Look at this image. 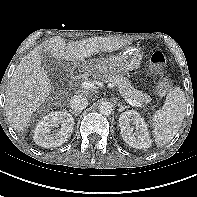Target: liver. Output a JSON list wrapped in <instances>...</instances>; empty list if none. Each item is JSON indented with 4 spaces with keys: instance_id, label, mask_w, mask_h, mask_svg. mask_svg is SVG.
I'll return each mask as SVG.
<instances>
[{
    "instance_id": "6515ba94",
    "label": "liver",
    "mask_w": 197,
    "mask_h": 197,
    "mask_svg": "<svg viewBox=\"0 0 197 197\" xmlns=\"http://www.w3.org/2000/svg\"><path fill=\"white\" fill-rule=\"evenodd\" d=\"M130 44L131 41L114 37H94L66 44L57 36L35 47L20 61L7 86L5 111L12 128L23 132L51 91L49 76L42 66L44 52L56 60L77 63L100 51L113 52Z\"/></svg>"
}]
</instances>
